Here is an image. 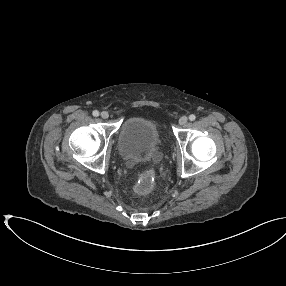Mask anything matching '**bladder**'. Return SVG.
I'll return each instance as SVG.
<instances>
[{"mask_svg": "<svg viewBox=\"0 0 286 286\" xmlns=\"http://www.w3.org/2000/svg\"><path fill=\"white\" fill-rule=\"evenodd\" d=\"M119 154L126 161L145 162L161 155V139L155 122L142 116L126 118L119 132Z\"/></svg>", "mask_w": 286, "mask_h": 286, "instance_id": "1", "label": "bladder"}]
</instances>
